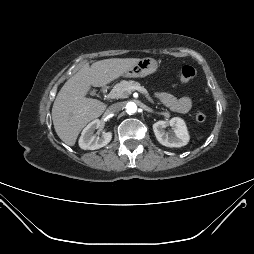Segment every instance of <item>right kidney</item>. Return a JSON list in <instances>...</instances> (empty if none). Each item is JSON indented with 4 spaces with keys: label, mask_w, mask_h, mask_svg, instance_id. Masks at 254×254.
I'll list each match as a JSON object with an SVG mask.
<instances>
[{
    "label": "right kidney",
    "mask_w": 254,
    "mask_h": 254,
    "mask_svg": "<svg viewBox=\"0 0 254 254\" xmlns=\"http://www.w3.org/2000/svg\"><path fill=\"white\" fill-rule=\"evenodd\" d=\"M100 126L98 119L90 122L82 131L79 138V146L84 150H96L106 146L112 139L111 132H103L102 136L94 135V131Z\"/></svg>",
    "instance_id": "right-kidney-1"
}]
</instances>
